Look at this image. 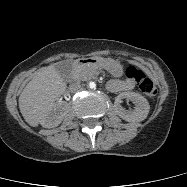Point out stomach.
I'll return each instance as SVG.
<instances>
[{
  "instance_id": "0dacf381",
  "label": "stomach",
  "mask_w": 187,
  "mask_h": 187,
  "mask_svg": "<svg viewBox=\"0 0 187 187\" xmlns=\"http://www.w3.org/2000/svg\"><path fill=\"white\" fill-rule=\"evenodd\" d=\"M90 61L94 65L107 70L114 77H120L123 73L122 65L112 58L94 57Z\"/></svg>"
}]
</instances>
